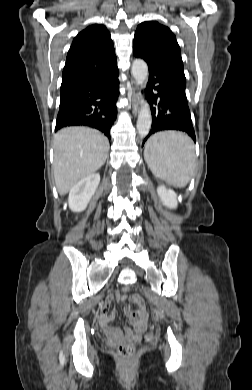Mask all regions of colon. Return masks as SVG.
Segmentation results:
<instances>
[{"mask_svg": "<svg viewBox=\"0 0 252 390\" xmlns=\"http://www.w3.org/2000/svg\"><path fill=\"white\" fill-rule=\"evenodd\" d=\"M139 299H140V297L133 296L134 301L139 300ZM116 352H117V356L120 359V361L128 362V361L132 360V358L134 357V355L136 353V346L132 343H123L117 347Z\"/></svg>", "mask_w": 252, "mask_h": 390, "instance_id": "obj_1", "label": "colon"}]
</instances>
